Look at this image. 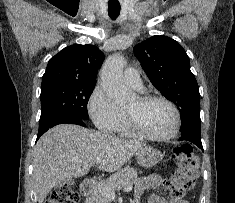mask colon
Returning a JSON list of instances; mask_svg holds the SVG:
<instances>
[{
  "label": "colon",
  "instance_id": "colon-1",
  "mask_svg": "<svg viewBox=\"0 0 235 203\" xmlns=\"http://www.w3.org/2000/svg\"><path fill=\"white\" fill-rule=\"evenodd\" d=\"M173 161L175 168L165 186L172 197L182 198L195 184L199 174V160L193 148L183 144L174 148ZM78 200V193L69 184L60 185L45 203H78Z\"/></svg>",
  "mask_w": 235,
  "mask_h": 203
}]
</instances>
